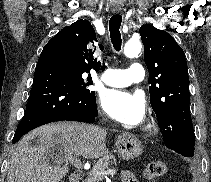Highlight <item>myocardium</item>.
I'll use <instances>...</instances> for the list:
<instances>
[{"label": "myocardium", "mask_w": 211, "mask_h": 182, "mask_svg": "<svg viewBox=\"0 0 211 182\" xmlns=\"http://www.w3.org/2000/svg\"><path fill=\"white\" fill-rule=\"evenodd\" d=\"M153 127H154V121H153V119L149 118L145 122L144 126L142 127V130H144V131H150Z\"/></svg>", "instance_id": "1"}]
</instances>
